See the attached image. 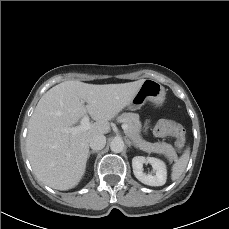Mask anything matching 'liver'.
Segmentation results:
<instances>
[{"label":"liver","instance_id":"1","mask_svg":"<svg viewBox=\"0 0 229 229\" xmlns=\"http://www.w3.org/2000/svg\"><path fill=\"white\" fill-rule=\"evenodd\" d=\"M144 81L95 85L72 80L48 90L29 120L26 138L36 177L62 191L78 185L85 173L91 137L110 131L109 120L130 104ZM87 113L96 121L89 130L75 135L62 131Z\"/></svg>","mask_w":229,"mask_h":229}]
</instances>
